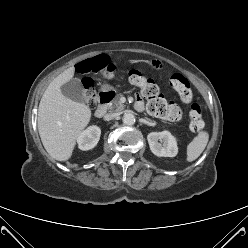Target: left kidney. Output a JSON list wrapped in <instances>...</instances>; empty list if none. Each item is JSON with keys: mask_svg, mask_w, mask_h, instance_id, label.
<instances>
[{"mask_svg": "<svg viewBox=\"0 0 248 248\" xmlns=\"http://www.w3.org/2000/svg\"><path fill=\"white\" fill-rule=\"evenodd\" d=\"M147 140L150 150L156 156L175 157L178 153L176 138L169 131L151 132L148 134Z\"/></svg>", "mask_w": 248, "mask_h": 248, "instance_id": "5707ae66", "label": "left kidney"}]
</instances>
